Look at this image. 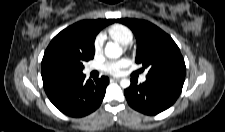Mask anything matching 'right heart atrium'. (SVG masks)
Segmentation results:
<instances>
[{"label":"right heart atrium","mask_w":225,"mask_h":132,"mask_svg":"<svg viewBox=\"0 0 225 132\" xmlns=\"http://www.w3.org/2000/svg\"><path fill=\"white\" fill-rule=\"evenodd\" d=\"M102 46H103V37L101 35H98L95 38V41H94V51H95V53H99L102 49Z\"/></svg>","instance_id":"d8ad5b80"}]
</instances>
